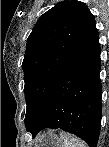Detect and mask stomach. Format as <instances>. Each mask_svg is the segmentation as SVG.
I'll use <instances>...</instances> for the list:
<instances>
[{"label":"stomach","mask_w":109,"mask_h":147,"mask_svg":"<svg viewBox=\"0 0 109 147\" xmlns=\"http://www.w3.org/2000/svg\"><path fill=\"white\" fill-rule=\"evenodd\" d=\"M30 145L31 147H62V132L54 130L42 132L36 136Z\"/></svg>","instance_id":"0dacf381"}]
</instances>
